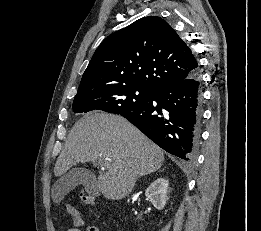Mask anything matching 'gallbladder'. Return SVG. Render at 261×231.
I'll list each match as a JSON object with an SVG mask.
<instances>
[{"mask_svg":"<svg viewBox=\"0 0 261 231\" xmlns=\"http://www.w3.org/2000/svg\"><path fill=\"white\" fill-rule=\"evenodd\" d=\"M80 184L85 187L88 193H91L94 196H98L100 194L97 179L94 174L83 167H75L57 180L54 185L53 195L57 196L58 199L61 200L66 194Z\"/></svg>","mask_w":261,"mask_h":231,"instance_id":"1","label":"gallbladder"}]
</instances>
